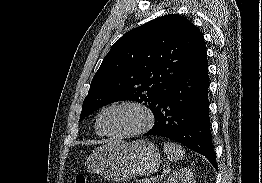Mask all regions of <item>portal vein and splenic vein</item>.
Masks as SVG:
<instances>
[{"label": "portal vein and splenic vein", "instance_id": "obj_1", "mask_svg": "<svg viewBox=\"0 0 262 183\" xmlns=\"http://www.w3.org/2000/svg\"><path fill=\"white\" fill-rule=\"evenodd\" d=\"M152 181H157V179H151Z\"/></svg>", "mask_w": 262, "mask_h": 183}]
</instances>
